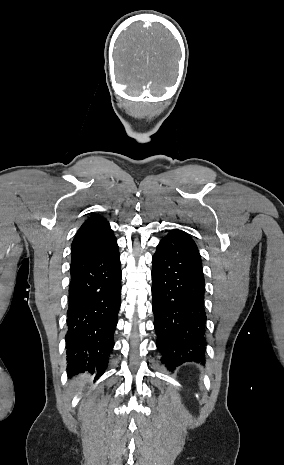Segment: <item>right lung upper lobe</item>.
Segmentation results:
<instances>
[{
	"label": "right lung upper lobe",
	"instance_id": "cb5924a9",
	"mask_svg": "<svg viewBox=\"0 0 284 465\" xmlns=\"http://www.w3.org/2000/svg\"><path fill=\"white\" fill-rule=\"evenodd\" d=\"M114 237L106 219L98 215L88 218L72 242V262L98 250Z\"/></svg>",
	"mask_w": 284,
	"mask_h": 465
}]
</instances>
